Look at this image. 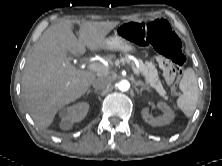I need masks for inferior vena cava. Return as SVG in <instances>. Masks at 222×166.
<instances>
[{
  "mask_svg": "<svg viewBox=\"0 0 222 166\" xmlns=\"http://www.w3.org/2000/svg\"><path fill=\"white\" fill-rule=\"evenodd\" d=\"M92 85L97 90H107L111 85V80L106 77H99L93 81Z\"/></svg>",
  "mask_w": 222,
  "mask_h": 166,
  "instance_id": "inferior-vena-cava-1",
  "label": "inferior vena cava"
}]
</instances>
